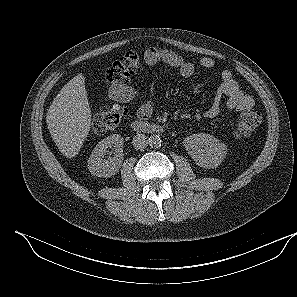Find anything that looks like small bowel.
<instances>
[{
  "mask_svg": "<svg viewBox=\"0 0 297 297\" xmlns=\"http://www.w3.org/2000/svg\"><path fill=\"white\" fill-rule=\"evenodd\" d=\"M144 60L151 66L164 64L174 68L183 77H190L195 71V65L192 62L185 60L178 53L164 48H148L144 52ZM199 64L203 68H212L215 65V61L210 57H204L200 60ZM108 94L110 99L116 103H129L137 99H142L143 104L137 110V116L140 119H147L153 113L151 101L146 98L142 90L131 84L112 86L109 88ZM224 98L226 99V107L232 110L245 111L254 106L253 98L241 90L229 70H223L221 72V84L216 91L212 105L204 112L205 117L213 118L217 116Z\"/></svg>",
  "mask_w": 297,
  "mask_h": 297,
  "instance_id": "obj_1",
  "label": "small bowel"
}]
</instances>
